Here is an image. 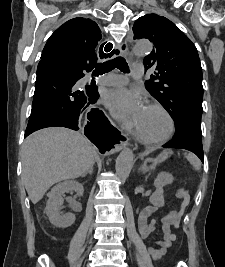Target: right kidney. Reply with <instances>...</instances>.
I'll list each match as a JSON object with an SVG mask.
<instances>
[{
	"label": "right kidney",
	"instance_id": "1",
	"mask_svg": "<svg viewBox=\"0 0 225 267\" xmlns=\"http://www.w3.org/2000/svg\"><path fill=\"white\" fill-rule=\"evenodd\" d=\"M72 191L76 192L78 196H82L84 187L75 180H67L55 185L48 194L45 210L50 222L57 227L66 228L75 222L74 214H60V206L63 204L64 193Z\"/></svg>",
	"mask_w": 225,
	"mask_h": 267
}]
</instances>
